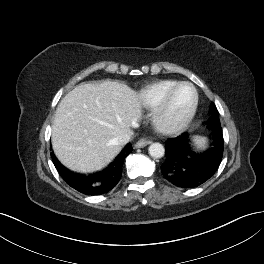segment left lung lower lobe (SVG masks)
Wrapping results in <instances>:
<instances>
[{"instance_id": "obj_1", "label": "left lung lower lobe", "mask_w": 264, "mask_h": 264, "mask_svg": "<svg viewBox=\"0 0 264 264\" xmlns=\"http://www.w3.org/2000/svg\"><path fill=\"white\" fill-rule=\"evenodd\" d=\"M210 143L204 151H194L188 133L169 138L166 142V160L161 166L164 177L181 188L197 187L217 171L223 156L222 128H210Z\"/></svg>"}]
</instances>
